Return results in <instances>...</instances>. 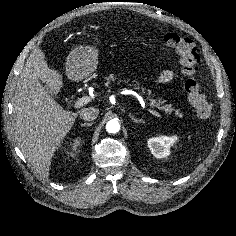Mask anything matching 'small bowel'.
I'll list each match as a JSON object with an SVG mask.
<instances>
[{"label": "small bowel", "mask_w": 236, "mask_h": 236, "mask_svg": "<svg viewBox=\"0 0 236 236\" xmlns=\"http://www.w3.org/2000/svg\"><path fill=\"white\" fill-rule=\"evenodd\" d=\"M175 76L174 71L172 70H167L164 73L161 74V76L158 78L159 83H166L171 81Z\"/></svg>", "instance_id": "c3829d8e"}]
</instances>
